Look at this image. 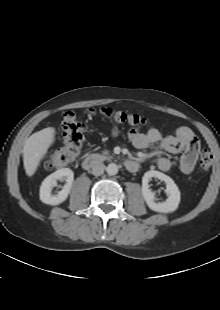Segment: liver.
Segmentation results:
<instances>
[{"label": "liver", "mask_w": 220, "mask_h": 310, "mask_svg": "<svg viewBox=\"0 0 220 310\" xmlns=\"http://www.w3.org/2000/svg\"><path fill=\"white\" fill-rule=\"evenodd\" d=\"M54 140L55 128L53 127L44 128L26 140L23 147V163L29 177L34 175Z\"/></svg>", "instance_id": "obj_1"}]
</instances>
